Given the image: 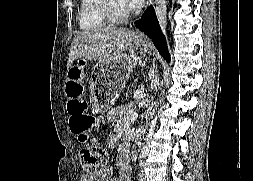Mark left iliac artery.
<instances>
[{"label":"left iliac artery","mask_w":253,"mask_h":181,"mask_svg":"<svg viewBox=\"0 0 253 181\" xmlns=\"http://www.w3.org/2000/svg\"><path fill=\"white\" fill-rule=\"evenodd\" d=\"M145 161L144 160H140V166L143 167L144 166Z\"/></svg>","instance_id":"obj_1"}]
</instances>
